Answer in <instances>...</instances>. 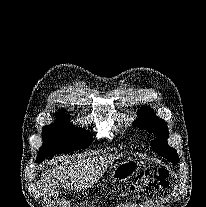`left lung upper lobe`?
Returning <instances> with one entry per match:
<instances>
[{
  "label": "left lung upper lobe",
  "instance_id": "1",
  "mask_svg": "<svg viewBox=\"0 0 206 207\" xmlns=\"http://www.w3.org/2000/svg\"><path fill=\"white\" fill-rule=\"evenodd\" d=\"M139 118L134 122V126L144 128L156 134V139L152 141V149L160 156L170 160L173 163L179 161L177 152L167 144L169 136L167 124L164 120L158 118L149 106H144L138 110Z\"/></svg>",
  "mask_w": 206,
  "mask_h": 207
}]
</instances>
